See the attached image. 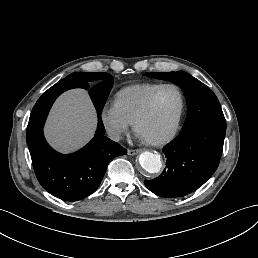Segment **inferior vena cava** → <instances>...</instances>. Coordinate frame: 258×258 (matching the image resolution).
I'll use <instances>...</instances> for the list:
<instances>
[{"mask_svg":"<svg viewBox=\"0 0 258 258\" xmlns=\"http://www.w3.org/2000/svg\"><path fill=\"white\" fill-rule=\"evenodd\" d=\"M107 133L110 139L119 141L121 139L120 132L114 128H108Z\"/></svg>","mask_w":258,"mask_h":258,"instance_id":"obj_1","label":"inferior vena cava"}]
</instances>
